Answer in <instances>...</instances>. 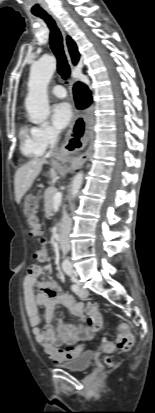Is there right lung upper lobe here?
Masks as SVG:
<instances>
[{
  "mask_svg": "<svg viewBox=\"0 0 155 413\" xmlns=\"http://www.w3.org/2000/svg\"><path fill=\"white\" fill-rule=\"evenodd\" d=\"M67 44H68V47H69V52L71 54L73 63L75 64L79 59V53H78V50H77V46H76L75 42L70 37H67Z\"/></svg>",
  "mask_w": 155,
  "mask_h": 413,
  "instance_id": "1",
  "label": "right lung upper lobe"
}]
</instances>
